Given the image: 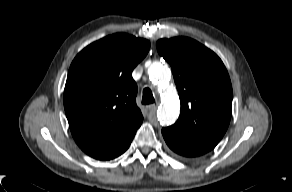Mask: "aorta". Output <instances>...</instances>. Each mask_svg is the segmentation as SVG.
Returning a JSON list of instances; mask_svg holds the SVG:
<instances>
[{"instance_id": "aorta-1", "label": "aorta", "mask_w": 292, "mask_h": 192, "mask_svg": "<svg viewBox=\"0 0 292 192\" xmlns=\"http://www.w3.org/2000/svg\"><path fill=\"white\" fill-rule=\"evenodd\" d=\"M148 75L150 80L158 85L166 84L171 76L169 67L159 61H154L149 65ZM164 100L157 111V118L163 125H169L175 122L179 116L180 103L176 93L173 90L165 89L163 91Z\"/></svg>"}]
</instances>
